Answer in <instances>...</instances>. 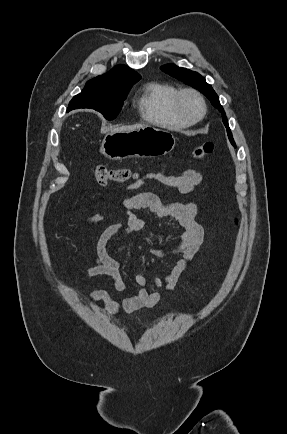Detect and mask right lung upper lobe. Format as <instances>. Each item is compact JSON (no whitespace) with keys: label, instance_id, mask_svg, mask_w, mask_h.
Segmentation results:
<instances>
[{"label":"right lung upper lobe","instance_id":"obj_1","mask_svg":"<svg viewBox=\"0 0 287 434\" xmlns=\"http://www.w3.org/2000/svg\"><path fill=\"white\" fill-rule=\"evenodd\" d=\"M141 76L125 65L115 66L110 72L100 75L92 80L108 81L114 83L137 82Z\"/></svg>","mask_w":287,"mask_h":434}]
</instances>
